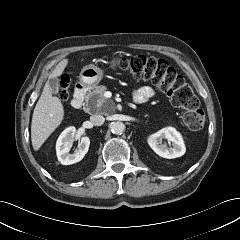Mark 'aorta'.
<instances>
[{
    "mask_svg": "<svg viewBox=\"0 0 240 240\" xmlns=\"http://www.w3.org/2000/svg\"><path fill=\"white\" fill-rule=\"evenodd\" d=\"M111 131L113 134L120 135L125 131V124L123 122H114L111 125Z\"/></svg>",
    "mask_w": 240,
    "mask_h": 240,
    "instance_id": "aorta-1",
    "label": "aorta"
}]
</instances>
